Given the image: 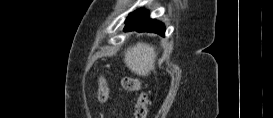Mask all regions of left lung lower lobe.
<instances>
[{"label":"left lung lower lobe","mask_w":273,"mask_h":118,"mask_svg":"<svg viewBox=\"0 0 273 118\" xmlns=\"http://www.w3.org/2000/svg\"><path fill=\"white\" fill-rule=\"evenodd\" d=\"M136 30L138 32H153L159 35L165 34L164 24L153 19H147L143 22L127 23L125 31Z\"/></svg>","instance_id":"1"}]
</instances>
